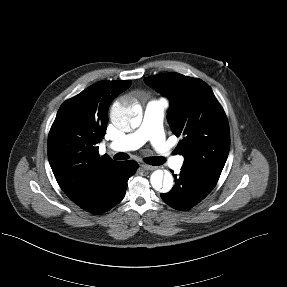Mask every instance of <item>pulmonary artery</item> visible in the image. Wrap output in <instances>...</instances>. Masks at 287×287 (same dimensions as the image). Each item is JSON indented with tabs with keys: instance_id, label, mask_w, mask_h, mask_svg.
Here are the masks:
<instances>
[{
	"instance_id": "obj_1",
	"label": "pulmonary artery",
	"mask_w": 287,
	"mask_h": 287,
	"mask_svg": "<svg viewBox=\"0 0 287 287\" xmlns=\"http://www.w3.org/2000/svg\"><path fill=\"white\" fill-rule=\"evenodd\" d=\"M167 107L166 99L149 101L141 125L133 132L114 140L109 147L114 151L135 150L149 141L170 167L179 169L183 164V157L172 155L162 129V121Z\"/></svg>"
}]
</instances>
